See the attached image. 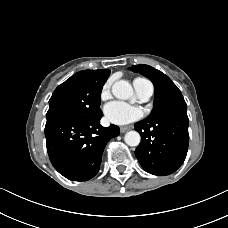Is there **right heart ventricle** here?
Listing matches in <instances>:
<instances>
[{"mask_svg":"<svg viewBox=\"0 0 228 228\" xmlns=\"http://www.w3.org/2000/svg\"><path fill=\"white\" fill-rule=\"evenodd\" d=\"M146 82H148L147 80H145V79H143V78H136L135 80H134V86H135V88L137 89V88H139V87H141L144 83H146Z\"/></svg>","mask_w":228,"mask_h":228,"instance_id":"right-heart-ventricle-1","label":"right heart ventricle"}]
</instances>
